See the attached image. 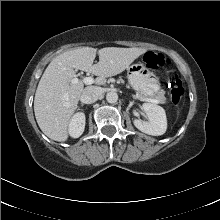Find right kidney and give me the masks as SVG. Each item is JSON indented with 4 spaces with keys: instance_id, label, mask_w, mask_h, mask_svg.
Here are the masks:
<instances>
[{
    "instance_id": "1",
    "label": "right kidney",
    "mask_w": 220,
    "mask_h": 220,
    "mask_svg": "<svg viewBox=\"0 0 220 220\" xmlns=\"http://www.w3.org/2000/svg\"><path fill=\"white\" fill-rule=\"evenodd\" d=\"M85 128V114L82 112L76 113L69 123V134L73 138H78L82 135Z\"/></svg>"
}]
</instances>
